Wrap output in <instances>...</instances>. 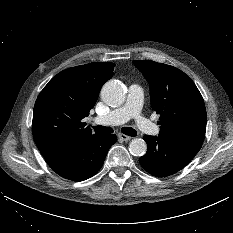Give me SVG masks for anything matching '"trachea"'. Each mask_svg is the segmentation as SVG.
I'll return each instance as SVG.
<instances>
[{
  "label": "trachea",
  "instance_id": "trachea-1",
  "mask_svg": "<svg viewBox=\"0 0 233 233\" xmlns=\"http://www.w3.org/2000/svg\"><path fill=\"white\" fill-rule=\"evenodd\" d=\"M94 130L96 133H99V134H110L113 132V129L111 127H106V126H96L94 127ZM121 132L124 133L125 135L132 136V137L137 135L136 130H134L131 127H123L121 129Z\"/></svg>",
  "mask_w": 233,
  "mask_h": 233
}]
</instances>
